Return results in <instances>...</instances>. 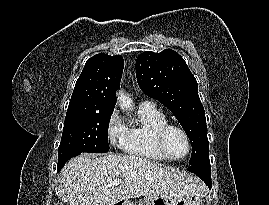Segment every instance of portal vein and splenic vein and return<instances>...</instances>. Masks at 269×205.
I'll return each mask as SVG.
<instances>
[{
    "mask_svg": "<svg viewBox=\"0 0 269 205\" xmlns=\"http://www.w3.org/2000/svg\"><path fill=\"white\" fill-rule=\"evenodd\" d=\"M121 183V179H115L113 182H112V185L113 186H116V185H118V184H120Z\"/></svg>",
    "mask_w": 269,
    "mask_h": 205,
    "instance_id": "18ae733b",
    "label": "portal vein and splenic vein"
}]
</instances>
